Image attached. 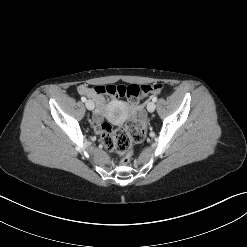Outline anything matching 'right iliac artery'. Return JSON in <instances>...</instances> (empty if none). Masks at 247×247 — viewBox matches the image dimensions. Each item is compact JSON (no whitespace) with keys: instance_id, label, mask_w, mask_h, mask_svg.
Here are the masks:
<instances>
[{"instance_id":"obj_1","label":"right iliac artery","mask_w":247,"mask_h":247,"mask_svg":"<svg viewBox=\"0 0 247 247\" xmlns=\"http://www.w3.org/2000/svg\"><path fill=\"white\" fill-rule=\"evenodd\" d=\"M81 101L82 102H86V98L85 97H81Z\"/></svg>"}]
</instances>
